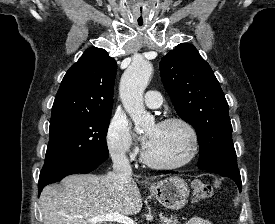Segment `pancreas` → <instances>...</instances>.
<instances>
[{
  "label": "pancreas",
  "instance_id": "pancreas-1",
  "mask_svg": "<svg viewBox=\"0 0 275 224\" xmlns=\"http://www.w3.org/2000/svg\"><path fill=\"white\" fill-rule=\"evenodd\" d=\"M161 224H180L177 217H167L160 214Z\"/></svg>",
  "mask_w": 275,
  "mask_h": 224
}]
</instances>
